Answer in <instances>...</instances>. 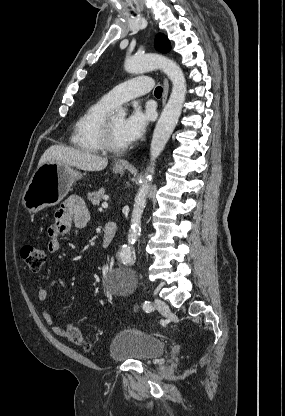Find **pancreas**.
<instances>
[{
    "instance_id": "pancreas-1",
    "label": "pancreas",
    "mask_w": 285,
    "mask_h": 416,
    "mask_svg": "<svg viewBox=\"0 0 285 416\" xmlns=\"http://www.w3.org/2000/svg\"><path fill=\"white\" fill-rule=\"evenodd\" d=\"M103 196H106L104 188H100L97 192H88L87 194V198L92 202L93 206H99Z\"/></svg>"
}]
</instances>
